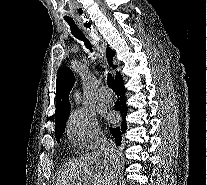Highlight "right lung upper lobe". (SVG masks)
Segmentation results:
<instances>
[{
	"instance_id": "cb5924a9",
	"label": "right lung upper lobe",
	"mask_w": 207,
	"mask_h": 185,
	"mask_svg": "<svg viewBox=\"0 0 207 185\" xmlns=\"http://www.w3.org/2000/svg\"><path fill=\"white\" fill-rule=\"evenodd\" d=\"M107 57L108 63L111 67L117 68V65L112 64L113 51L107 47ZM121 78L120 73L118 72L115 76V81ZM74 74L73 72L66 66L62 67L57 74V82H56V128L65 126L66 121L70 112V103H69V92L74 85Z\"/></svg>"
}]
</instances>
